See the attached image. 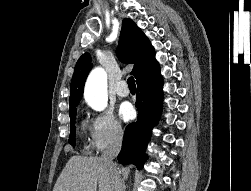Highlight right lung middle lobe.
I'll list each match as a JSON object with an SVG mask.
<instances>
[{
    "mask_svg": "<svg viewBox=\"0 0 251 191\" xmlns=\"http://www.w3.org/2000/svg\"><path fill=\"white\" fill-rule=\"evenodd\" d=\"M76 106H71L70 107V124H71V132H70V137H69V143L72 146H75V118H76Z\"/></svg>",
    "mask_w": 251,
    "mask_h": 191,
    "instance_id": "1",
    "label": "right lung middle lobe"
}]
</instances>
